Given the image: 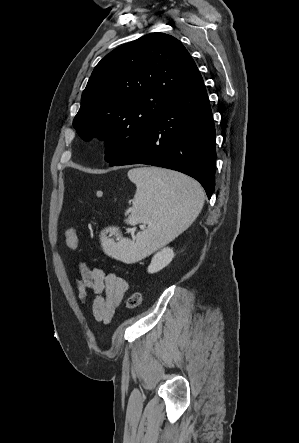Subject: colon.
Returning a JSON list of instances; mask_svg holds the SVG:
<instances>
[{
	"label": "colon",
	"mask_w": 299,
	"mask_h": 443,
	"mask_svg": "<svg viewBox=\"0 0 299 443\" xmlns=\"http://www.w3.org/2000/svg\"><path fill=\"white\" fill-rule=\"evenodd\" d=\"M65 238L68 247L71 250H77L79 247L78 236L75 230V227L69 224L66 227ZM142 301V296L140 292H133L127 299V307L129 309H136L140 306Z\"/></svg>",
	"instance_id": "5ec220e1"
}]
</instances>
